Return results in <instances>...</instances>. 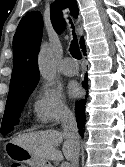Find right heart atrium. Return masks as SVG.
<instances>
[{
  "label": "right heart atrium",
  "instance_id": "right-heart-atrium-1",
  "mask_svg": "<svg viewBox=\"0 0 125 167\" xmlns=\"http://www.w3.org/2000/svg\"><path fill=\"white\" fill-rule=\"evenodd\" d=\"M32 110L36 122L43 126L56 125L71 115L64 96L49 84H42L34 91Z\"/></svg>",
  "mask_w": 125,
  "mask_h": 167
}]
</instances>
